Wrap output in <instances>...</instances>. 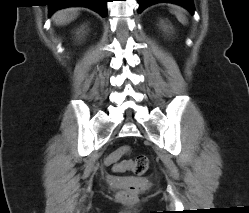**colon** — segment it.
I'll return each instance as SVG.
<instances>
[{
  "label": "colon",
  "mask_w": 249,
  "mask_h": 213,
  "mask_svg": "<svg viewBox=\"0 0 249 213\" xmlns=\"http://www.w3.org/2000/svg\"><path fill=\"white\" fill-rule=\"evenodd\" d=\"M130 152L129 146H121L111 152L105 159L107 165H112L115 172L131 171L133 174L140 176L149 167V158L147 156H138L134 161H120V158ZM139 188L131 184L118 193L119 199L125 202L135 201Z\"/></svg>",
  "instance_id": "1"
}]
</instances>
